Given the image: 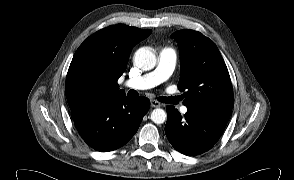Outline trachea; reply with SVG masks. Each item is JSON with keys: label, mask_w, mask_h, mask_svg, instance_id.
Listing matches in <instances>:
<instances>
[{"label": "trachea", "mask_w": 294, "mask_h": 180, "mask_svg": "<svg viewBox=\"0 0 294 180\" xmlns=\"http://www.w3.org/2000/svg\"><path fill=\"white\" fill-rule=\"evenodd\" d=\"M158 100L161 101V102L167 103L168 98H166V97H159Z\"/></svg>", "instance_id": "obj_1"}]
</instances>
